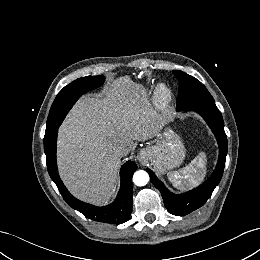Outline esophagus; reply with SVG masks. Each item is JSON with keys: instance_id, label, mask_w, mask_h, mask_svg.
Returning a JSON list of instances; mask_svg holds the SVG:
<instances>
[{"instance_id": "obj_1", "label": "esophagus", "mask_w": 260, "mask_h": 260, "mask_svg": "<svg viewBox=\"0 0 260 260\" xmlns=\"http://www.w3.org/2000/svg\"><path fill=\"white\" fill-rule=\"evenodd\" d=\"M142 159H143V154L139 153L138 156H137V160L142 161Z\"/></svg>"}]
</instances>
